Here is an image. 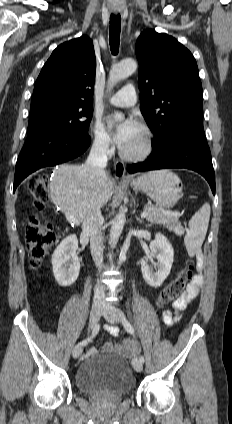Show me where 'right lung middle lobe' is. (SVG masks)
Wrapping results in <instances>:
<instances>
[{
	"mask_svg": "<svg viewBox=\"0 0 232 424\" xmlns=\"http://www.w3.org/2000/svg\"><path fill=\"white\" fill-rule=\"evenodd\" d=\"M92 115L91 106L44 104L31 108L27 133L48 130L75 135L87 134Z\"/></svg>",
	"mask_w": 232,
	"mask_h": 424,
	"instance_id": "dd1d6c3e",
	"label": "right lung middle lobe"
}]
</instances>
